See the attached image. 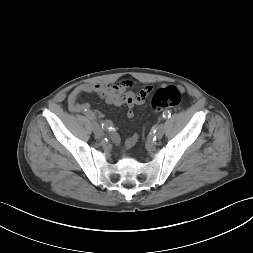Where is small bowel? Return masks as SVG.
Listing matches in <instances>:
<instances>
[{
  "label": "small bowel",
  "instance_id": "obj_1",
  "mask_svg": "<svg viewBox=\"0 0 253 253\" xmlns=\"http://www.w3.org/2000/svg\"><path fill=\"white\" fill-rule=\"evenodd\" d=\"M132 82L129 80H122L117 84H81L75 87L68 96L67 104L68 108L73 113H82L89 115L95 113L91 109L90 105L86 102H79V97L84 93H94L100 96L106 101V103L114 106H121L126 104L128 106L127 116L132 118L134 116L133 107L135 105L142 104L146 97L152 92V86L143 87L138 93L130 91ZM102 117V114H98ZM106 125H110V121L105 122ZM113 141L119 143V137L112 135ZM137 140V136L133 135L126 141V147H131Z\"/></svg>",
  "mask_w": 253,
  "mask_h": 253
}]
</instances>
